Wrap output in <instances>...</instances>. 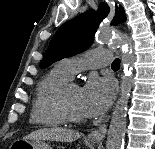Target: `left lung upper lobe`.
Segmentation results:
<instances>
[{"label":"left lung upper lobe","mask_w":155,"mask_h":149,"mask_svg":"<svg viewBox=\"0 0 155 149\" xmlns=\"http://www.w3.org/2000/svg\"><path fill=\"white\" fill-rule=\"evenodd\" d=\"M109 7L102 3L98 11L90 10L64 23L57 30L41 62V68L87 49L94 41L99 23L107 16ZM126 19L123 8L117 10L113 25Z\"/></svg>","instance_id":"5c2ea615"}]
</instances>
